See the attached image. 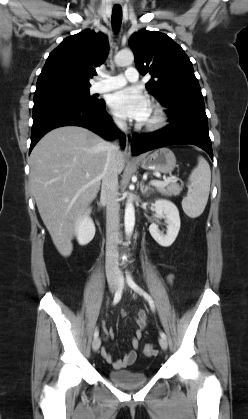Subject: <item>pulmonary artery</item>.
Here are the masks:
<instances>
[{
    "label": "pulmonary artery",
    "mask_w": 248,
    "mask_h": 419,
    "mask_svg": "<svg viewBox=\"0 0 248 419\" xmlns=\"http://www.w3.org/2000/svg\"><path fill=\"white\" fill-rule=\"evenodd\" d=\"M102 80L94 87L93 91L97 93L107 92L123 87L127 82H136L139 78L138 71L135 67L130 66L124 74L103 75Z\"/></svg>",
    "instance_id": "e3ab8cb5"
}]
</instances>
